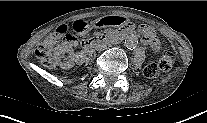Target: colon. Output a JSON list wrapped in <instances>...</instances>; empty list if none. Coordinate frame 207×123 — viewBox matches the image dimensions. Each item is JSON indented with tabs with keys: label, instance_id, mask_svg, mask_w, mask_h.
Returning a JSON list of instances; mask_svg holds the SVG:
<instances>
[{
	"label": "colon",
	"instance_id": "1",
	"mask_svg": "<svg viewBox=\"0 0 207 123\" xmlns=\"http://www.w3.org/2000/svg\"><path fill=\"white\" fill-rule=\"evenodd\" d=\"M63 40L68 43L75 41L74 36L71 34L68 26L61 25L56 29L53 36L43 42L36 50V56L47 67H54V61L52 59V50L54 44ZM175 62V54L167 51L162 58L157 62H152L144 68V75L147 78H156L161 73L169 71Z\"/></svg>",
	"mask_w": 207,
	"mask_h": 123
}]
</instances>
